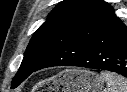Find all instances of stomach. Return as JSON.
Listing matches in <instances>:
<instances>
[{"instance_id": "stomach-1", "label": "stomach", "mask_w": 127, "mask_h": 92, "mask_svg": "<svg viewBox=\"0 0 127 92\" xmlns=\"http://www.w3.org/2000/svg\"><path fill=\"white\" fill-rule=\"evenodd\" d=\"M103 87L99 75L86 69H66L51 79V92H100Z\"/></svg>"}]
</instances>
